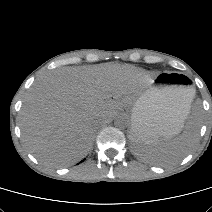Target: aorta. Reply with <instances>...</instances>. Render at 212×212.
Returning a JSON list of instances; mask_svg holds the SVG:
<instances>
[{
    "instance_id": "obj_1",
    "label": "aorta",
    "mask_w": 212,
    "mask_h": 212,
    "mask_svg": "<svg viewBox=\"0 0 212 212\" xmlns=\"http://www.w3.org/2000/svg\"><path fill=\"white\" fill-rule=\"evenodd\" d=\"M114 124L117 128H124L127 125V120L124 117H118L115 121Z\"/></svg>"
}]
</instances>
